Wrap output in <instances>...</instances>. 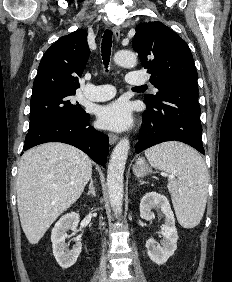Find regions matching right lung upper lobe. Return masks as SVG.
Returning <instances> with one entry per match:
<instances>
[{
	"mask_svg": "<svg viewBox=\"0 0 232 282\" xmlns=\"http://www.w3.org/2000/svg\"><path fill=\"white\" fill-rule=\"evenodd\" d=\"M90 49L87 32L79 29L58 39L43 55L34 80L33 91L64 89L76 91Z\"/></svg>",
	"mask_w": 232,
	"mask_h": 282,
	"instance_id": "1",
	"label": "right lung upper lobe"
}]
</instances>
